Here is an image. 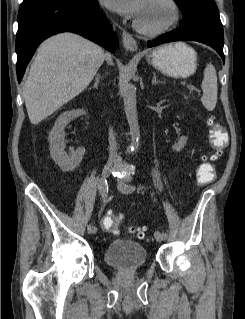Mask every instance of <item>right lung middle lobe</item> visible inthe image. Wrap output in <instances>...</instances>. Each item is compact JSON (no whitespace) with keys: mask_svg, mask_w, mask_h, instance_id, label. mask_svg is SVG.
Here are the masks:
<instances>
[{"mask_svg":"<svg viewBox=\"0 0 245 319\" xmlns=\"http://www.w3.org/2000/svg\"><path fill=\"white\" fill-rule=\"evenodd\" d=\"M46 0H23L22 5H30V4H34V3H38V2H43Z\"/></svg>","mask_w":245,"mask_h":319,"instance_id":"obj_1","label":"right lung middle lobe"}]
</instances>
